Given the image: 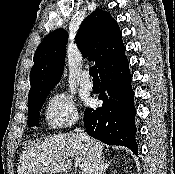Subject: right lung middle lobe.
Here are the masks:
<instances>
[{
    "label": "right lung middle lobe",
    "mask_w": 175,
    "mask_h": 174,
    "mask_svg": "<svg viewBox=\"0 0 175 174\" xmlns=\"http://www.w3.org/2000/svg\"><path fill=\"white\" fill-rule=\"evenodd\" d=\"M47 95L28 101V126H39V115Z\"/></svg>",
    "instance_id": "1"
}]
</instances>
